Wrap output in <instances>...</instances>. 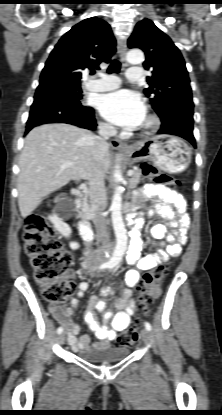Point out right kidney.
<instances>
[{
	"label": "right kidney",
	"instance_id": "1",
	"mask_svg": "<svg viewBox=\"0 0 222 415\" xmlns=\"http://www.w3.org/2000/svg\"><path fill=\"white\" fill-rule=\"evenodd\" d=\"M49 220L54 224V228L62 234L64 237L68 238L71 235V228L68 224L61 221L57 214H52L49 217Z\"/></svg>",
	"mask_w": 222,
	"mask_h": 415
}]
</instances>
